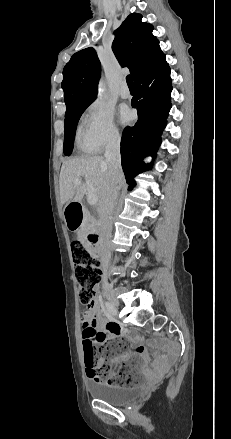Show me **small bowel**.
I'll list each match as a JSON object with an SVG mask.
<instances>
[{
    "label": "small bowel",
    "instance_id": "small-bowel-1",
    "mask_svg": "<svg viewBox=\"0 0 231 439\" xmlns=\"http://www.w3.org/2000/svg\"><path fill=\"white\" fill-rule=\"evenodd\" d=\"M82 330V345L83 349L87 343L98 345L106 336L108 337H126L132 343H136V349L132 354H127L123 357L115 359L111 365L110 374H114L122 361L132 362L133 360L140 361L145 367L148 366L149 359L143 345L138 344L139 339L134 337L131 331L122 326H117L111 322H107L104 319V312L99 306L97 301H94L91 307L83 314L81 318ZM104 329H107L105 332ZM143 374L146 376L153 375V371L149 368L143 370ZM140 380V378H137Z\"/></svg>",
    "mask_w": 231,
    "mask_h": 439
}]
</instances>
